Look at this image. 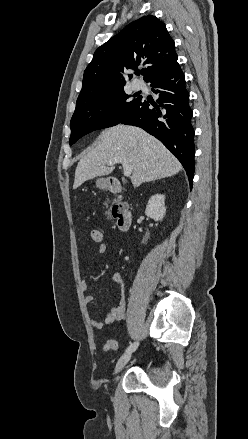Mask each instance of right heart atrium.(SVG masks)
Segmentation results:
<instances>
[{
	"mask_svg": "<svg viewBox=\"0 0 248 439\" xmlns=\"http://www.w3.org/2000/svg\"><path fill=\"white\" fill-rule=\"evenodd\" d=\"M118 107L116 104H109L105 109V117L114 118L118 114Z\"/></svg>",
	"mask_w": 248,
	"mask_h": 439,
	"instance_id": "right-heart-atrium-1",
	"label": "right heart atrium"
}]
</instances>
